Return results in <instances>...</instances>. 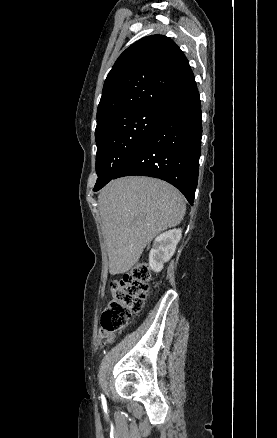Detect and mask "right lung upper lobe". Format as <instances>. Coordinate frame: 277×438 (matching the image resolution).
Listing matches in <instances>:
<instances>
[{"instance_id": "1", "label": "right lung upper lobe", "mask_w": 277, "mask_h": 438, "mask_svg": "<svg viewBox=\"0 0 277 438\" xmlns=\"http://www.w3.org/2000/svg\"><path fill=\"white\" fill-rule=\"evenodd\" d=\"M156 63L170 64L164 69ZM196 82L180 48L163 35L147 36L128 47L109 72L97 109V122L114 115L164 110Z\"/></svg>"}]
</instances>
